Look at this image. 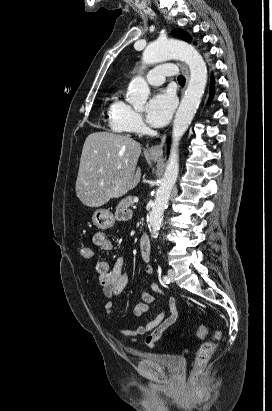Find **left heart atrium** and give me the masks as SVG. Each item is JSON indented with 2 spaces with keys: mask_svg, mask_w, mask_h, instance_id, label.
<instances>
[{
  "mask_svg": "<svg viewBox=\"0 0 272 411\" xmlns=\"http://www.w3.org/2000/svg\"><path fill=\"white\" fill-rule=\"evenodd\" d=\"M175 109V98L167 91L155 94L148 102L146 117L153 127H162L168 123Z\"/></svg>",
  "mask_w": 272,
  "mask_h": 411,
  "instance_id": "obj_1",
  "label": "left heart atrium"
}]
</instances>
